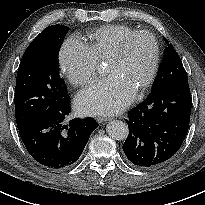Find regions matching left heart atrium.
I'll return each mask as SVG.
<instances>
[{
	"label": "left heart atrium",
	"instance_id": "obj_1",
	"mask_svg": "<svg viewBox=\"0 0 205 205\" xmlns=\"http://www.w3.org/2000/svg\"><path fill=\"white\" fill-rule=\"evenodd\" d=\"M135 90L118 76H109L79 93L77 111L84 115L114 114L128 106Z\"/></svg>",
	"mask_w": 205,
	"mask_h": 205
}]
</instances>
